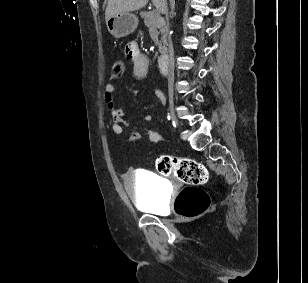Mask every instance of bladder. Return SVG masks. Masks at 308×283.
Masks as SVG:
<instances>
[{
  "mask_svg": "<svg viewBox=\"0 0 308 283\" xmlns=\"http://www.w3.org/2000/svg\"><path fill=\"white\" fill-rule=\"evenodd\" d=\"M125 189L134 205L142 211L163 215L167 210V185L155 174L139 170L125 178Z\"/></svg>",
  "mask_w": 308,
  "mask_h": 283,
  "instance_id": "31cf9c89",
  "label": "bladder"
}]
</instances>
